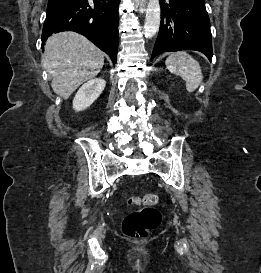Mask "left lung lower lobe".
<instances>
[{
    "label": "left lung lower lobe",
    "instance_id": "obj_1",
    "mask_svg": "<svg viewBox=\"0 0 261 273\" xmlns=\"http://www.w3.org/2000/svg\"><path fill=\"white\" fill-rule=\"evenodd\" d=\"M161 2V24L151 60L163 53L197 50L212 60V38L205 0Z\"/></svg>",
    "mask_w": 261,
    "mask_h": 273
}]
</instances>
